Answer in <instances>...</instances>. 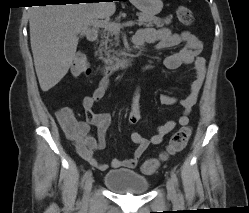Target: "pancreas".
I'll list each match as a JSON object with an SVG mask.
<instances>
[{
    "label": "pancreas",
    "mask_w": 249,
    "mask_h": 213,
    "mask_svg": "<svg viewBox=\"0 0 249 213\" xmlns=\"http://www.w3.org/2000/svg\"><path fill=\"white\" fill-rule=\"evenodd\" d=\"M138 16V25L139 26H147V27H163L164 25H169L171 23L172 17H167L165 19L158 18L154 15H147L144 13H137ZM114 24H119L118 22H113ZM115 32L109 29H103L100 32V46L98 49L99 52V59L103 60L106 64L112 65L114 61H117L118 55L117 51L112 49L113 43V36ZM113 53V55H111Z\"/></svg>",
    "instance_id": "1"
}]
</instances>
